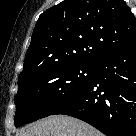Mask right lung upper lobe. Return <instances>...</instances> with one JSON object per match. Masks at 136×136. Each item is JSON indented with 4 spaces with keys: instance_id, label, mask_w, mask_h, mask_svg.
<instances>
[{
    "instance_id": "right-lung-upper-lobe-1",
    "label": "right lung upper lobe",
    "mask_w": 136,
    "mask_h": 136,
    "mask_svg": "<svg viewBox=\"0 0 136 136\" xmlns=\"http://www.w3.org/2000/svg\"><path fill=\"white\" fill-rule=\"evenodd\" d=\"M135 38L123 0H64L38 18L18 83L52 66L95 64Z\"/></svg>"
}]
</instances>
